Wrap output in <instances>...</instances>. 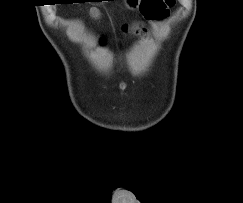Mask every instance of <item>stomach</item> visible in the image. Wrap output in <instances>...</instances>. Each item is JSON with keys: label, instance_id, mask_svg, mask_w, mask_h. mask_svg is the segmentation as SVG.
<instances>
[{"label": "stomach", "instance_id": "1", "mask_svg": "<svg viewBox=\"0 0 243 203\" xmlns=\"http://www.w3.org/2000/svg\"><path fill=\"white\" fill-rule=\"evenodd\" d=\"M141 0H125V5L130 10H135L139 7Z\"/></svg>", "mask_w": 243, "mask_h": 203}]
</instances>
